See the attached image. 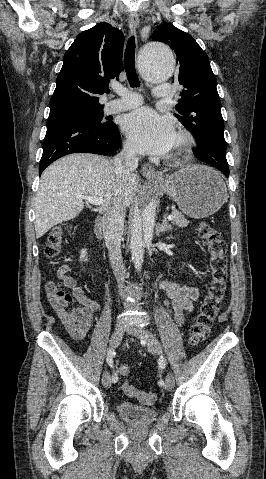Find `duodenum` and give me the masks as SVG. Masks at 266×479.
I'll use <instances>...</instances> for the list:
<instances>
[{
    "label": "duodenum",
    "instance_id": "duodenum-1",
    "mask_svg": "<svg viewBox=\"0 0 266 479\" xmlns=\"http://www.w3.org/2000/svg\"><path fill=\"white\" fill-rule=\"evenodd\" d=\"M104 224H105L104 219L100 216L97 217L95 222V235L100 241H102L103 239ZM102 248H103V245L101 244V249Z\"/></svg>",
    "mask_w": 266,
    "mask_h": 479
}]
</instances>
